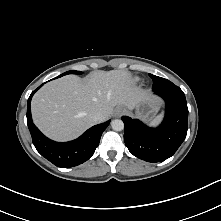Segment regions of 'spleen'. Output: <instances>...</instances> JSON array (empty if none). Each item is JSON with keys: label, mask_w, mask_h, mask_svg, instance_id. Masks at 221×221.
<instances>
[{"label": "spleen", "mask_w": 221, "mask_h": 221, "mask_svg": "<svg viewBox=\"0 0 221 221\" xmlns=\"http://www.w3.org/2000/svg\"><path fill=\"white\" fill-rule=\"evenodd\" d=\"M161 118H162V115L156 116V117L152 120L151 124H152V125H155V124L159 123V121L161 120Z\"/></svg>", "instance_id": "1"}]
</instances>
